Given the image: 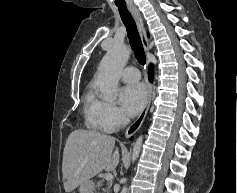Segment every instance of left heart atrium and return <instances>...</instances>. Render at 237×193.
<instances>
[{"label": "left heart atrium", "mask_w": 237, "mask_h": 193, "mask_svg": "<svg viewBox=\"0 0 237 193\" xmlns=\"http://www.w3.org/2000/svg\"><path fill=\"white\" fill-rule=\"evenodd\" d=\"M147 99V90L143 84L137 83L125 86L121 91V103L129 116H135L144 107Z\"/></svg>", "instance_id": "1"}]
</instances>
